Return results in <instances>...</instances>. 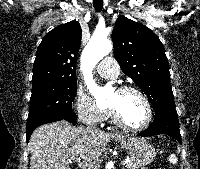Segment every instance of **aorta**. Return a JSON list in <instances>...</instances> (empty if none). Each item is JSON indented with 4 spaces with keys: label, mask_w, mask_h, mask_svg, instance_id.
Returning <instances> with one entry per match:
<instances>
[{
    "label": "aorta",
    "mask_w": 200,
    "mask_h": 169,
    "mask_svg": "<svg viewBox=\"0 0 200 169\" xmlns=\"http://www.w3.org/2000/svg\"><path fill=\"white\" fill-rule=\"evenodd\" d=\"M112 50V43L107 37L93 35L81 56V68L90 93L99 101L105 98L107 90L95 84L92 76L94 67Z\"/></svg>",
    "instance_id": "762f6f07"
}]
</instances>
